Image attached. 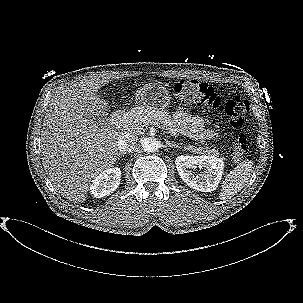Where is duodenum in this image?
<instances>
[{
  "instance_id": "duodenum-1",
  "label": "duodenum",
  "mask_w": 303,
  "mask_h": 303,
  "mask_svg": "<svg viewBox=\"0 0 303 303\" xmlns=\"http://www.w3.org/2000/svg\"><path fill=\"white\" fill-rule=\"evenodd\" d=\"M123 119H124V113L122 111H117L112 115L110 119V125L111 126L118 125L119 123L122 122Z\"/></svg>"
}]
</instances>
